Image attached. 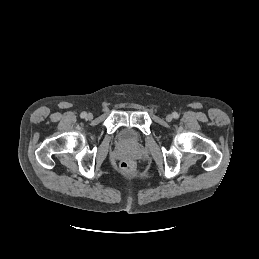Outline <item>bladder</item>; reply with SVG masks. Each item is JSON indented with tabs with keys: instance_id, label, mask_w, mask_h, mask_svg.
<instances>
[{
	"instance_id": "31cf9c89",
	"label": "bladder",
	"mask_w": 259,
	"mask_h": 259,
	"mask_svg": "<svg viewBox=\"0 0 259 259\" xmlns=\"http://www.w3.org/2000/svg\"><path fill=\"white\" fill-rule=\"evenodd\" d=\"M119 142L123 145L133 146L139 143V135L130 128H123L118 135Z\"/></svg>"
}]
</instances>
